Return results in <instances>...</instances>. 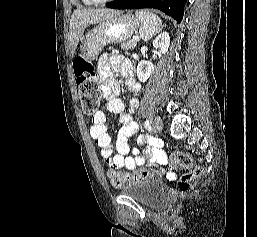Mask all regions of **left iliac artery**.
I'll list each match as a JSON object with an SVG mask.
<instances>
[{"label": "left iliac artery", "mask_w": 257, "mask_h": 237, "mask_svg": "<svg viewBox=\"0 0 257 237\" xmlns=\"http://www.w3.org/2000/svg\"><path fill=\"white\" fill-rule=\"evenodd\" d=\"M144 126H145V128H149V127H150V121H149V120H146V121L144 122Z\"/></svg>", "instance_id": "obj_1"}]
</instances>
